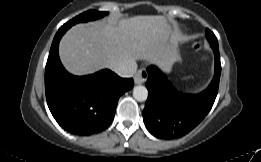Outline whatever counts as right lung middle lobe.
Masks as SVG:
<instances>
[{
  "mask_svg": "<svg viewBox=\"0 0 261 162\" xmlns=\"http://www.w3.org/2000/svg\"><path fill=\"white\" fill-rule=\"evenodd\" d=\"M106 14H107V12H99V11H95V10L86 11V12L76 16L69 22H67V24L72 26L79 22H87L89 20H95V19L101 18V17L105 16Z\"/></svg>",
  "mask_w": 261,
  "mask_h": 162,
  "instance_id": "dd1d6c3e",
  "label": "right lung middle lobe"
}]
</instances>
